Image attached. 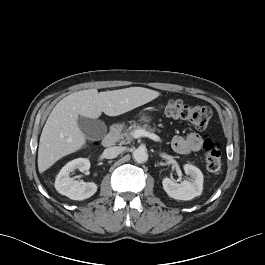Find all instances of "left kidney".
<instances>
[{
  "mask_svg": "<svg viewBox=\"0 0 265 265\" xmlns=\"http://www.w3.org/2000/svg\"><path fill=\"white\" fill-rule=\"evenodd\" d=\"M183 169L190 176L188 180L176 183L170 178L165 177L162 181L163 189L168 196L177 200H192L202 194L203 174L200 169L191 164H185Z\"/></svg>",
  "mask_w": 265,
  "mask_h": 265,
  "instance_id": "5707ae66",
  "label": "left kidney"
}]
</instances>
